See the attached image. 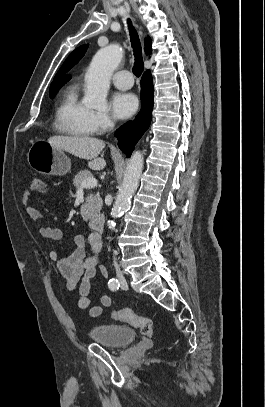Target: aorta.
I'll return each mask as SVG.
<instances>
[{"instance_id": "762f6f07", "label": "aorta", "mask_w": 265, "mask_h": 407, "mask_svg": "<svg viewBox=\"0 0 265 407\" xmlns=\"http://www.w3.org/2000/svg\"><path fill=\"white\" fill-rule=\"evenodd\" d=\"M122 49L118 44H111L100 49L93 57L85 75L86 90L83 103L91 108H105L110 78L122 59ZM143 169V154L136 151L132 154L124 174L123 183L117 194L111 216L117 218L130 207L133 194L138 188ZM110 229L116 224L108 222Z\"/></svg>"}]
</instances>
